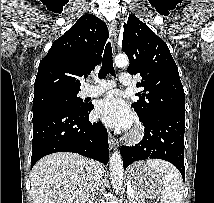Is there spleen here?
<instances>
[{"instance_id": "obj_1", "label": "spleen", "mask_w": 214, "mask_h": 203, "mask_svg": "<svg viewBox=\"0 0 214 203\" xmlns=\"http://www.w3.org/2000/svg\"><path fill=\"white\" fill-rule=\"evenodd\" d=\"M147 164L162 176L161 203H184L183 181L178 170L172 164L162 160H148Z\"/></svg>"}]
</instances>
